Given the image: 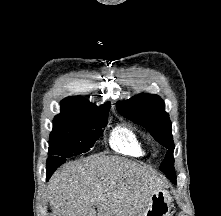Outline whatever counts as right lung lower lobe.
<instances>
[{
  "label": "right lung lower lobe",
  "mask_w": 221,
  "mask_h": 216,
  "mask_svg": "<svg viewBox=\"0 0 221 216\" xmlns=\"http://www.w3.org/2000/svg\"><path fill=\"white\" fill-rule=\"evenodd\" d=\"M58 167V166H57ZM57 167L51 168V170H47V179L53 174V172L57 169Z\"/></svg>",
  "instance_id": "obj_1"
}]
</instances>
